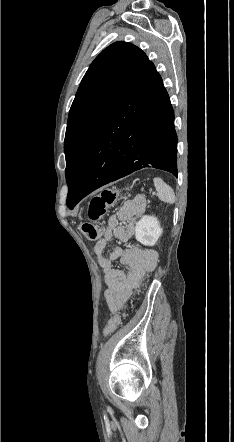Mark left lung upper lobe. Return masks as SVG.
Returning <instances> with one entry per match:
<instances>
[{"label": "left lung upper lobe", "mask_w": 234, "mask_h": 442, "mask_svg": "<svg viewBox=\"0 0 234 442\" xmlns=\"http://www.w3.org/2000/svg\"><path fill=\"white\" fill-rule=\"evenodd\" d=\"M131 43L115 42L91 63L72 103L65 141L69 198L75 191L96 135L149 63Z\"/></svg>", "instance_id": "5c2ea615"}]
</instances>
